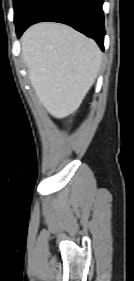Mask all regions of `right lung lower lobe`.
<instances>
[{
	"label": "right lung lower lobe",
	"mask_w": 134,
	"mask_h": 281,
	"mask_svg": "<svg viewBox=\"0 0 134 281\" xmlns=\"http://www.w3.org/2000/svg\"><path fill=\"white\" fill-rule=\"evenodd\" d=\"M103 0H32L17 29L18 38L31 24L53 21L92 37L104 49Z\"/></svg>",
	"instance_id": "right-lung-lower-lobe-1"
}]
</instances>
